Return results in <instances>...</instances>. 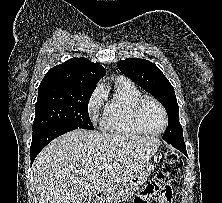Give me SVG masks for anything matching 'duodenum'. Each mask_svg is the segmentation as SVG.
Listing matches in <instances>:
<instances>
[{
  "label": "duodenum",
  "mask_w": 222,
  "mask_h": 203,
  "mask_svg": "<svg viewBox=\"0 0 222 203\" xmlns=\"http://www.w3.org/2000/svg\"><path fill=\"white\" fill-rule=\"evenodd\" d=\"M96 197V200L99 202H102L104 200V197H105V192L104 191H99L96 193L95 195Z\"/></svg>",
  "instance_id": "duodenum-1"
}]
</instances>
